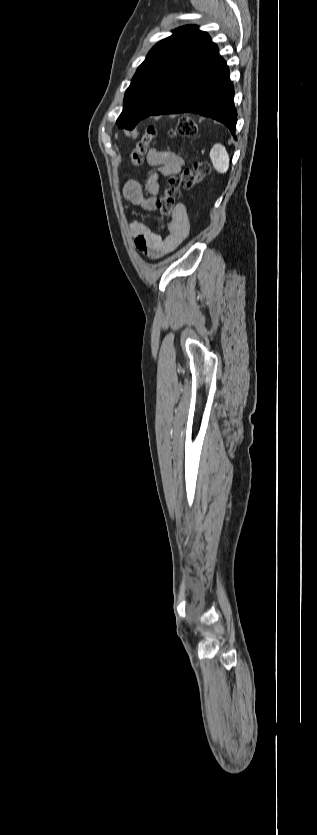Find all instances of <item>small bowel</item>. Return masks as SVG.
Returning a JSON list of instances; mask_svg holds the SVG:
<instances>
[{"label": "small bowel", "mask_w": 317, "mask_h": 835, "mask_svg": "<svg viewBox=\"0 0 317 835\" xmlns=\"http://www.w3.org/2000/svg\"><path fill=\"white\" fill-rule=\"evenodd\" d=\"M146 160L152 170L144 185L127 180L123 185L122 194L131 204L145 211H154L157 207V196L161 191L162 177L177 176L184 166V160L175 153H163L158 149H151ZM129 229L136 248L147 258L158 259L175 250L183 242L189 232V223L185 208L180 206L176 209L165 236L155 233L140 221H131Z\"/></svg>", "instance_id": "c3829d8e"}]
</instances>
